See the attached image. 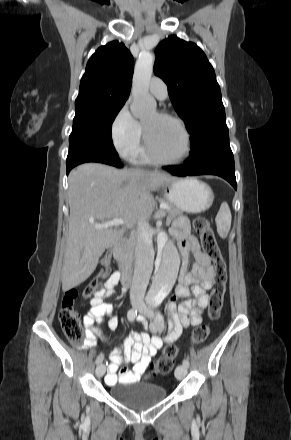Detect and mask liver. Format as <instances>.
Returning <instances> with one entry per match:
<instances>
[{"label": "liver", "instance_id": "obj_1", "mask_svg": "<svg viewBox=\"0 0 291 440\" xmlns=\"http://www.w3.org/2000/svg\"><path fill=\"white\" fill-rule=\"evenodd\" d=\"M174 179L157 171L118 170L99 163H85L70 172L63 291L83 283L105 249L117 243L126 229L147 220L155 206L152 192ZM113 219L125 224L120 229L95 227Z\"/></svg>", "mask_w": 291, "mask_h": 440}]
</instances>
